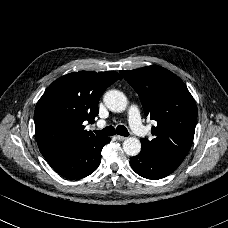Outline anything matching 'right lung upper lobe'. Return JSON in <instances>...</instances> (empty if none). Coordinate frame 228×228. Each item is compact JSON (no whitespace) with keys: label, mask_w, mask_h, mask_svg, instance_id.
Returning <instances> with one entry per match:
<instances>
[{"label":"right lung upper lobe","mask_w":228,"mask_h":228,"mask_svg":"<svg viewBox=\"0 0 228 228\" xmlns=\"http://www.w3.org/2000/svg\"><path fill=\"white\" fill-rule=\"evenodd\" d=\"M122 77L114 71H80L55 80L36 104L35 135L39 150L48 156L95 137L83 122H94L98 101Z\"/></svg>","instance_id":"obj_1"}]
</instances>
